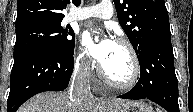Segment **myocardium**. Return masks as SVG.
<instances>
[{"mask_svg":"<svg viewBox=\"0 0 193 112\" xmlns=\"http://www.w3.org/2000/svg\"><path fill=\"white\" fill-rule=\"evenodd\" d=\"M115 42L123 45L128 50L132 62V72L130 78L125 82L115 81L105 73L102 66L98 68V72L100 77L110 86L120 90H128L133 88L139 81L141 73L139 58L134 46L130 41L125 38H117Z\"/></svg>","mask_w":193,"mask_h":112,"instance_id":"myocardium-1","label":"myocardium"}]
</instances>
